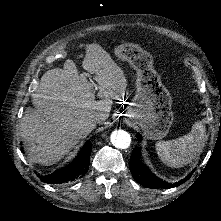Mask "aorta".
<instances>
[{
  "mask_svg": "<svg viewBox=\"0 0 221 221\" xmlns=\"http://www.w3.org/2000/svg\"><path fill=\"white\" fill-rule=\"evenodd\" d=\"M110 140L117 149H126L131 143L130 134L124 130L113 131Z\"/></svg>",
  "mask_w": 221,
  "mask_h": 221,
  "instance_id": "762f6f07",
  "label": "aorta"
}]
</instances>
